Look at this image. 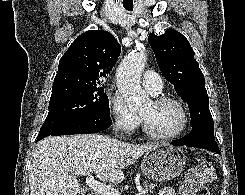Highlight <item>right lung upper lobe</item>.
Returning a JSON list of instances; mask_svg holds the SVG:
<instances>
[{
  "instance_id": "cb5924a9",
  "label": "right lung upper lobe",
  "mask_w": 245,
  "mask_h": 195,
  "mask_svg": "<svg viewBox=\"0 0 245 195\" xmlns=\"http://www.w3.org/2000/svg\"><path fill=\"white\" fill-rule=\"evenodd\" d=\"M120 52V45L107 31L90 30L81 34L59 61L52 92L101 86L116 64Z\"/></svg>"
}]
</instances>
